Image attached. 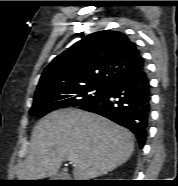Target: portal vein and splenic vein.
<instances>
[{
  "instance_id": "1",
  "label": "portal vein and splenic vein",
  "mask_w": 178,
  "mask_h": 186,
  "mask_svg": "<svg viewBox=\"0 0 178 186\" xmlns=\"http://www.w3.org/2000/svg\"><path fill=\"white\" fill-rule=\"evenodd\" d=\"M69 161H74V158L73 157H68L67 158Z\"/></svg>"
}]
</instances>
